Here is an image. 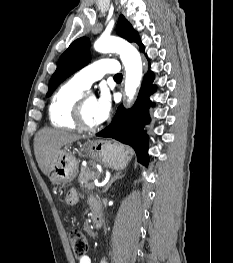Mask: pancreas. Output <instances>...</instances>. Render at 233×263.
I'll return each mask as SVG.
<instances>
[{
  "instance_id": "pancreas-1",
  "label": "pancreas",
  "mask_w": 233,
  "mask_h": 263,
  "mask_svg": "<svg viewBox=\"0 0 233 263\" xmlns=\"http://www.w3.org/2000/svg\"><path fill=\"white\" fill-rule=\"evenodd\" d=\"M97 176H98L97 171L82 170V172L78 178L80 186L87 189V190H93L95 187L93 180Z\"/></svg>"
}]
</instances>
